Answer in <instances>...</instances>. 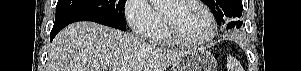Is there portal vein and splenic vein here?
I'll list each match as a JSON object with an SVG mask.
<instances>
[{
  "label": "portal vein and splenic vein",
  "mask_w": 301,
  "mask_h": 71,
  "mask_svg": "<svg viewBox=\"0 0 301 71\" xmlns=\"http://www.w3.org/2000/svg\"><path fill=\"white\" fill-rule=\"evenodd\" d=\"M129 67L127 65L122 66L119 71H128Z\"/></svg>",
  "instance_id": "18ae733b"
}]
</instances>
